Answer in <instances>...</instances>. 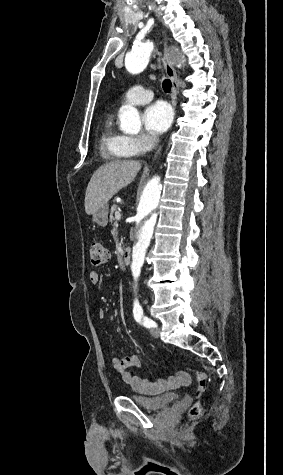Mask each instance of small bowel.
<instances>
[{"instance_id":"obj_1","label":"small bowel","mask_w":283,"mask_h":475,"mask_svg":"<svg viewBox=\"0 0 283 475\" xmlns=\"http://www.w3.org/2000/svg\"><path fill=\"white\" fill-rule=\"evenodd\" d=\"M100 279L101 275L98 271L93 270L89 273V280L92 284H98ZM98 317L101 320H104L107 317L106 310L102 308L99 309ZM111 364L112 367L120 373L123 381L129 384L133 389L139 390L148 383L147 380L141 379L139 376L129 371V368L138 367L140 365V358L137 355L130 354L124 357L115 356L111 359ZM169 380L172 382L174 387L185 385L181 379L180 373L169 377ZM155 383L163 385L165 383V378L163 376H158L155 378Z\"/></svg>"}]
</instances>
